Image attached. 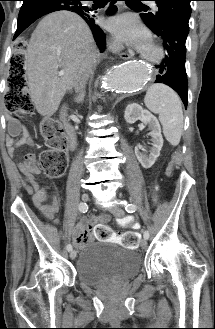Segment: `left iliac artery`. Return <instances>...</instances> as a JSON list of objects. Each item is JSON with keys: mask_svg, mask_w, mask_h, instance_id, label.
I'll list each match as a JSON object with an SVG mask.
<instances>
[{"mask_svg": "<svg viewBox=\"0 0 215 329\" xmlns=\"http://www.w3.org/2000/svg\"><path fill=\"white\" fill-rule=\"evenodd\" d=\"M137 207L134 204H127L125 207L126 212L128 213H133L135 212ZM144 238L148 239L149 238V232L146 230L144 231Z\"/></svg>", "mask_w": 215, "mask_h": 329, "instance_id": "1", "label": "left iliac artery"}]
</instances>
